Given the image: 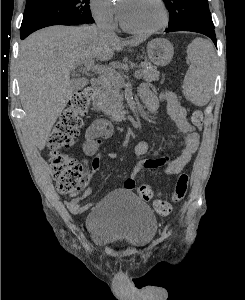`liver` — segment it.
Masks as SVG:
<instances>
[{
  "instance_id": "obj_1",
  "label": "liver",
  "mask_w": 245,
  "mask_h": 300,
  "mask_svg": "<svg viewBox=\"0 0 245 300\" xmlns=\"http://www.w3.org/2000/svg\"><path fill=\"white\" fill-rule=\"evenodd\" d=\"M145 40L138 36L124 41L95 26L56 25L34 32L21 43L18 70L24 126L39 150L73 95L70 71L94 59L107 61L124 46Z\"/></svg>"
}]
</instances>
